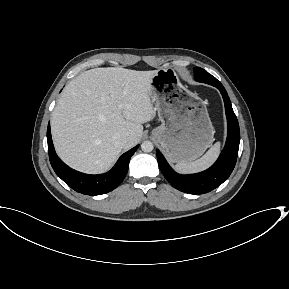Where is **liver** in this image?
<instances>
[{
    "label": "liver",
    "mask_w": 289,
    "mask_h": 289,
    "mask_svg": "<svg viewBox=\"0 0 289 289\" xmlns=\"http://www.w3.org/2000/svg\"><path fill=\"white\" fill-rule=\"evenodd\" d=\"M156 72L95 68L70 81L51 119L59 157L79 171L101 173L123 149L138 144L142 124L155 116L150 84ZM122 136L127 142L120 146Z\"/></svg>",
    "instance_id": "obj_1"
}]
</instances>
